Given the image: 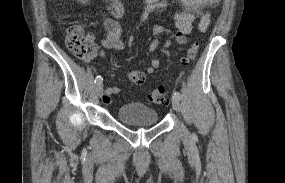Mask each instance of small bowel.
<instances>
[{
    "mask_svg": "<svg viewBox=\"0 0 285 183\" xmlns=\"http://www.w3.org/2000/svg\"><path fill=\"white\" fill-rule=\"evenodd\" d=\"M109 2V10L112 18L103 17V34L104 38L101 44H95L92 51L85 57L86 63L91 62L97 57H105V49L123 50L125 43L122 39V31L120 25L115 20L122 17L123 6L118 0H106ZM178 5V9L171 16V24L163 21L153 27V40L149 46V52L152 54L159 44V36L167 35L164 43V49L168 50L172 42L180 45L188 42V36L192 31V24L198 18V28L200 31H206L211 22V13L208 8L215 6L219 0H174ZM146 7L143 18L150 14H162L166 11L168 0H145ZM161 65L160 60L151 56L149 65L144 71L133 70L129 72V79L137 85H142L147 75L153 74ZM120 93L117 86H108L105 88L103 102L110 104L112 96Z\"/></svg>",
    "mask_w": 285,
    "mask_h": 183,
    "instance_id": "obj_1",
    "label": "small bowel"
}]
</instances>
